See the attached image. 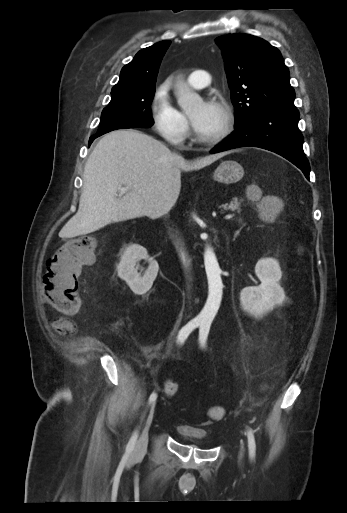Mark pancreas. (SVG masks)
I'll return each instance as SVG.
<instances>
[{
	"label": "pancreas",
	"instance_id": "1",
	"mask_svg": "<svg viewBox=\"0 0 347 513\" xmlns=\"http://www.w3.org/2000/svg\"><path fill=\"white\" fill-rule=\"evenodd\" d=\"M220 208H223L224 210H230L231 212H241L240 203L238 202L237 197H234L229 204H222ZM239 221L241 222L242 219L239 218Z\"/></svg>",
	"mask_w": 347,
	"mask_h": 513
}]
</instances>
